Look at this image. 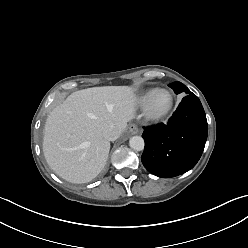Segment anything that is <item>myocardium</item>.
Here are the masks:
<instances>
[{"instance_id": "1", "label": "myocardium", "mask_w": 248, "mask_h": 248, "mask_svg": "<svg viewBox=\"0 0 248 248\" xmlns=\"http://www.w3.org/2000/svg\"><path fill=\"white\" fill-rule=\"evenodd\" d=\"M159 96H164L166 101L161 106H156L155 101ZM173 97L165 89H154L147 97L144 105V116L149 121H158L164 118L173 107Z\"/></svg>"}]
</instances>
